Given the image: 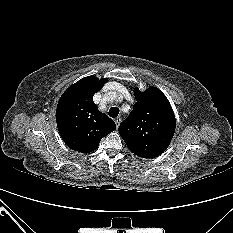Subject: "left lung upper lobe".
Returning a JSON list of instances; mask_svg holds the SVG:
<instances>
[{
    "label": "left lung upper lobe",
    "mask_w": 233,
    "mask_h": 233,
    "mask_svg": "<svg viewBox=\"0 0 233 233\" xmlns=\"http://www.w3.org/2000/svg\"><path fill=\"white\" fill-rule=\"evenodd\" d=\"M136 103L120 124L119 133L128 148L142 158H155L169 146L175 133V115L171 105L156 87L142 92L135 89Z\"/></svg>",
    "instance_id": "obj_1"
}]
</instances>
